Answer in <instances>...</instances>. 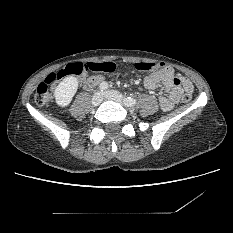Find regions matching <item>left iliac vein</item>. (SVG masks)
<instances>
[{
	"label": "left iliac vein",
	"mask_w": 233,
	"mask_h": 233,
	"mask_svg": "<svg viewBox=\"0 0 233 233\" xmlns=\"http://www.w3.org/2000/svg\"><path fill=\"white\" fill-rule=\"evenodd\" d=\"M104 97L108 100L116 101L118 103H123L124 101L122 94L114 90L106 91L104 93Z\"/></svg>",
	"instance_id": "obj_1"
}]
</instances>
